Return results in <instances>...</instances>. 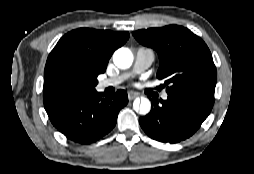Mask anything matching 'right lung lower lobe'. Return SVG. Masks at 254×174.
<instances>
[{
    "mask_svg": "<svg viewBox=\"0 0 254 174\" xmlns=\"http://www.w3.org/2000/svg\"><path fill=\"white\" fill-rule=\"evenodd\" d=\"M127 103L124 90L103 97L93 89L44 100V107L51 123L68 139L90 144L114 128L119 111Z\"/></svg>",
    "mask_w": 254,
    "mask_h": 174,
    "instance_id": "1",
    "label": "right lung lower lobe"
}]
</instances>
